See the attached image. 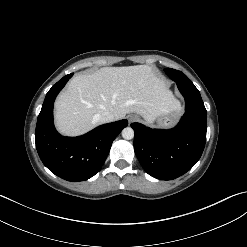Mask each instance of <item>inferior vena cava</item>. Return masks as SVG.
Segmentation results:
<instances>
[{"label":"inferior vena cava","instance_id":"602c4592","mask_svg":"<svg viewBox=\"0 0 247 247\" xmlns=\"http://www.w3.org/2000/svg\"><path fill=\"white\" fill-rule=\"evenodd\" d=\"M97 120L100 123H108V122H112L115 120V117L112 113L110 112H103L102 114L97 116Z\"/></svg>","mask_w":247,"mask_h":247}]
</instances>
